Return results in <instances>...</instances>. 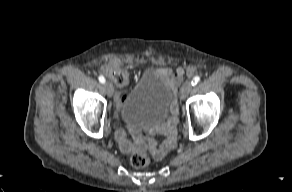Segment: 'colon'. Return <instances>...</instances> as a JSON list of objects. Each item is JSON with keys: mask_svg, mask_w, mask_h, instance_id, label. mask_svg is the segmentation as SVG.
Wrapping results in <instances>:
<instances>
[{"mask_svg": "<svg viewBox=\"0 0 292 192\" xmlns=\"http://www.w3.org/2000/svg\"><path fill=\"white\" fill-rule=\"evenodd\" d=\"M106 73L111 78L112 82L119 87L125 86L128 83V73L127 71L117 65L110 66L106 68ZM130 162L135 168H144L149 165L150 158L146 154L138 153L134 154Z\"/></svg>", "mask_w": 292, "mask_h": 192, "instance_id": "5ec220e1", "label": "colon"}]
</instances>
